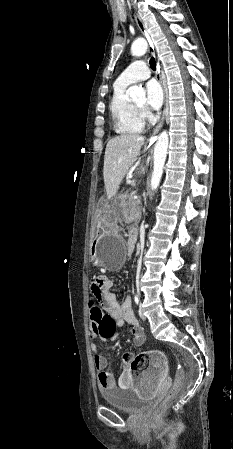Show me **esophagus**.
<instances>
[{
    "label": "esophagus",
    "mask_w": 233,
    "mask_h": 449,
    "mask_svg": "<svg viewBox=\"0 0 233 449\" xmlns=\"http://www.w3.org/2000/svg\"><path fill=\"white\" fill-rule=\"evenodd\" d=\"M135 21H136L137 26L140 29V31L142 33H144L145 36L147 37V40H148V43H149V48H148L149 53L151 55H153V56H156L154 45L152 43V40H151V38L149 36V33L147 31V28H146L144 22L142 21V19L138 15H135ZM157 79L159 80L160 84L162 85L163 92H164V98H165V87H164L163 82H162V76H161V71H160V64H159L158 60H157ZM164 116H165V108L163 110V114H162V117H161L158 125L156 126V128L154 129V131L152 133L150 141H154L156 139V136H157L159 130L161 129L162 125H163Z\"/></svg>",
    "instance_id": "1"
}]
</instances>
